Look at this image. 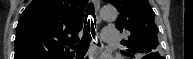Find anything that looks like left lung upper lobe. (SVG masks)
Listing matches in <instances>:
<instances>
[{
  "label": "left lung upper lobe",
  "instance_id": "obj_1",
  "mask_svg": "<svg viewBox=\"0 0 193 59\" xmlns=\"http://www.w3.org/2000/svg\"><path fill=\"white\" fill-rule=\"evenodd\" d=\"M104 1L115 6L120 13L115 23L117 29L131 33L127 40L121 42L127 48L126 51H122L124 55L133 57L157 51L158 28L154 23L155 13L148 0Z\"/></svg>",
  "mask_w": 193,
  "mask_h": 59
}]
</instances>
